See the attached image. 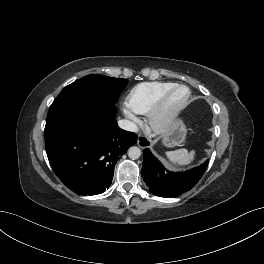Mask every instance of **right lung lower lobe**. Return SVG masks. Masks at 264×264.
I'll use <instances>...</instances> for the list:
<instances>
[{
  "label": "right lung lower lobe",
  "instance_id": "1",
  "mask_svg": "<svg viewBox=\"0 0 264 264\" xmlns=\"http://www.w3.org/2000/svg\"><path fill=\"white\" fill-rule=\"evenodd\" d=\"M45 148L59 179L80 195L103 193L137 134L117 126L113 104L83 100L46 121Z\"/></svg>",
  "mask_w": 264,
  "mask_h": 264
}]
</instances>
